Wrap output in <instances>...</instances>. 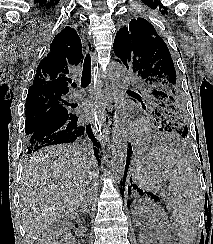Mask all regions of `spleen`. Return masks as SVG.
<instances>
[{"label":"spleen","instance_id":"1","mask_svg":"<svg viewBox=\"0 0 213 244\" xmlns=\"http://www.w3.org/2000/svg\"><path fill=\"white\" fill-rule=\"evenodd\" d=\"M156 169L172 190L173 226L182 244H194L201 213L199 182L190 164L168 149L155 151Z\"/></svg>","mask_w":213,"mask_h":244}]
</instances>
